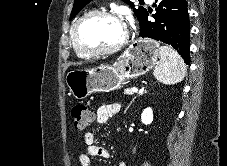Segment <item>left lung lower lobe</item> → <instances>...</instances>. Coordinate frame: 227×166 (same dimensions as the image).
Returning <instances> with one entry per match:
<instances>
[{"label": "left lung lower lobe", "instance_id": "0a47b994", "mask_svg": "<svg viewBox=\"0 0 227 166\" xmlns=\"http://www.w3.org/2000/svg\"><path fill=\"white\" fill-rule=\"evenodd\" d=\"M155 21L146 12L140 23L139 37H148L172 45L190 63V23L186 0H156Z\"/></svg>", "mask_w": 227, "mask_h": 166}]
</instances>
